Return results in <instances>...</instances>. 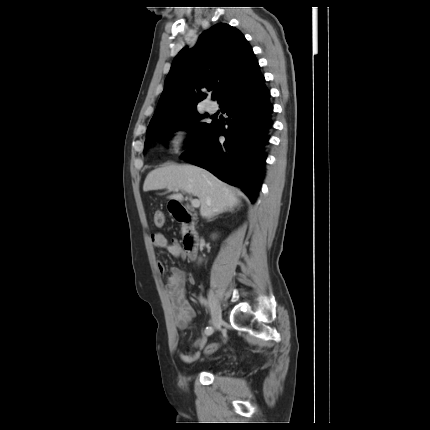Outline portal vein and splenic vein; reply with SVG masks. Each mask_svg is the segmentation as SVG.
<instances>
[{
    "instance_id": "obj_1",
    "label": "portal vein and splenic vein",
    "mask_w": 430,
    "mask_h": 430,
    "mask_svg": "<svg viewBox=\"0 0 430 430\" xmlns=\"http://www.w3.org/2000/svg\"><path fill=\"white\" fill-rule=\"evenodd\" d=\"M191 205H192L194 208H197V207H199V206H200V201H199L198 199H191Z\"/></svg>"
}]
</instances>
